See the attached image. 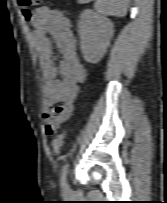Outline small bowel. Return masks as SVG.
Listing matches in <instances>:
<instances>
[{
	"mask_svg": "<svg viewBox=\"0 0 167 203\" xmlns=\"http://www.w3.org/2000/svg\"><path fill=\"white\" fill-rule=\"evenodd\" d=\"M31 22L44 79L43 120L45 132L50 136L71 118L79 84L85 79L86 70L80 62L68 16L44 7L34 12Z\"/></svg>",
	"mask_w": 167,
	"mask_h": 203,
	"instance_id": "obj_1",
	"label": "small bowel"
}]
</instances>
